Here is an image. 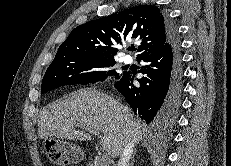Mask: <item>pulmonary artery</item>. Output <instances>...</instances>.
<instances>
[{"instance_id":"obj_1","label":"pulmonary artery","mask_w":231,"mask_h":166,"mask_svg":"<svg viewBox=\"0 0 231 166\" xmlns=\"http://www.w3.org/2000/svg\"><path fill=\"white\" fill-rule=\"evenodd\" d=\"M123 62H124L125 64H131V63L133 62L132 57L129 56V55L124 56V57H123Z\"/></svg>"}]
</instances>
